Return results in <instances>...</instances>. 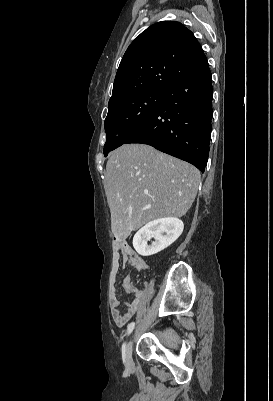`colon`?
Wrapping results in <instances>:
<instances>
[{"mask_svg": "<svg viewBox=\"0 0 273 401\" xmlns=\"http://www.w3.org/2000/svg\"><path fill=\"white\" fill-rule=\"evenodd\" d=\"M122 291L123 293H135L136 286L135 284H123L122 290H117V295H122Z\"/></svg>", "mask_w": 273, "mask_h": 401, "instance_id": "colon-1", "label": "colon"}]
</instances>
